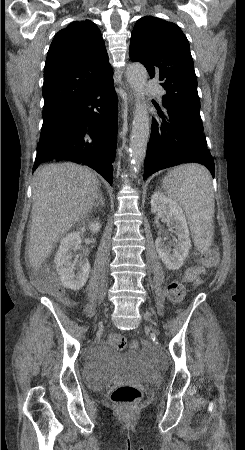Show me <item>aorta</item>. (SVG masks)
I'll return each mask as SVG.
<instances>
[{
	"label": "aorta",
	"mask_w": 245,
	"mask_h": 450,
	"mask_svg": "<svg viewBox=\"0 0 245 450\" xmlns=\"http://www.w3.org/2000/svg\"><path fill=\"white\" fill-rule=\"evenodd\" d=\"M126 77L135 95V111L130 140L132 170L138 171L143 163L150 136V121L145 101L148 73L140 63L129 64Z\"/></svg>",
	"instance_id": "aorta-1"
}]
</instances>
